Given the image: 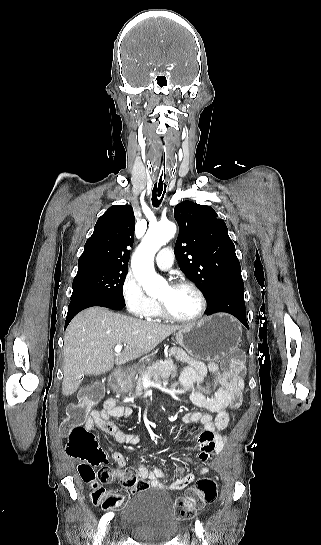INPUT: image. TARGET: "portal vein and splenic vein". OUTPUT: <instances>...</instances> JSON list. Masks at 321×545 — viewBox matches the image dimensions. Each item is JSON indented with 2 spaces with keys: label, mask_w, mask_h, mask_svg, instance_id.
<instances>
[{
  "label": "portal vein and splenic vein",
  "mask_w": 321,
  "mask_h": 545,
  "mask_svg": "<svg viewBox=\"0 0 321 545\" xmlns=\"http://www.w3.org/2000/svg\"><path fill=\"white\" fill-rule=\"evenodd\" d=\"M114 351L115 353H117V355H120L122 351V345H116ZM143 381H144V387H153V383H149V381H147V377H144Z\"/></svg>",
  "instance_id": "1"
}]
</instances>
